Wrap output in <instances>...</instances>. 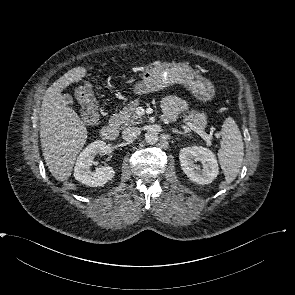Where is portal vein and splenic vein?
<instances>
[{"instance_id":"obj_1","label":"portal vein and splenic vein","mask_w":295,"mask_h":295,"mask_svg":"<svg viewBox=\"0 0 295 295\" xmlns=\"http://www.w3.org/2000/svg\"><path fill=\"white\" fill-rule=\"evenodd\" d=\"M184 123L188 128L192 129L197 134H199L204 140H206L208 142L211 140L212 134H206L202 129H200L199 127H197L195 124H193L191 122L184 121Z\"/></svg>"}]
</instances>
